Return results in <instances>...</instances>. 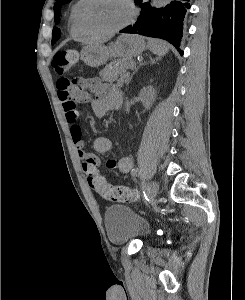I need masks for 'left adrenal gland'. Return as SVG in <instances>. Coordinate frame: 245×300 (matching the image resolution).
Wrapping results in <instances>:
<instances>
[{"instance_id": "a2214340", "label": "left adrenal gland", "mask_w": 245, "mask_h": 300, "mask_svg": "<svg viewBox=\"0 0 245 300\" xmlns=\"http://www.w3.org/2000/svg\"><path fill=\"white\" fill-rule=\"evenodd\" d=\"M145 63H140L139 64V66L136 68V70L131 74V76L129 77V79H128V82H127V85L130 83V81H131V79H132V77H133V75L138 71V69L142 66V65H144Z\"/></svg>"}]
</instances>
